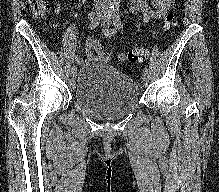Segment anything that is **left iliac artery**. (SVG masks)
I'll return each mask as SVG.
<instances>
[{
  "instance_id": "44dca946",
  "label": "left iliac artery",
  "mask_w": 219,
  "mask_h": 192,
  "mask_svg": "<svg viewBox=\"0 0 219 192\" xmlns=\"http://www.w3.org/2000/svg\"><path fill=\"white\" fill-rule=\"evenodd\" d=\"M114 15H113V22L117 29H121V19H120V5L116 4L113 9ZM143 72L148 73V68L144 67Z\"/></svg>"
}]
</instances>
